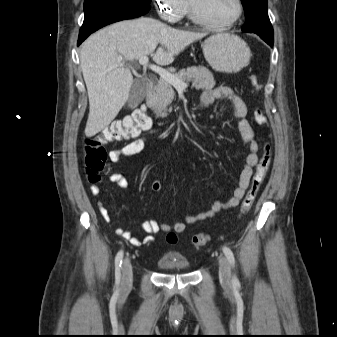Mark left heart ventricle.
<instances>
[{"instance_id": "left-heart-ventricle-1", "label": "left heart ventricle", "mask_w": 337, "mask_h": 337, "mask_svg": "<svg viewBox=\"0 0 337 337\" xmlns=\"http://www.w3.org/2000/svg\"><path fill=\"white\" fill-rule=\"evenodd\" d=\"M192 4L202 18L222 23L228 21L235 13L234 0H191Z\"/></svg>"}]
</instances>
